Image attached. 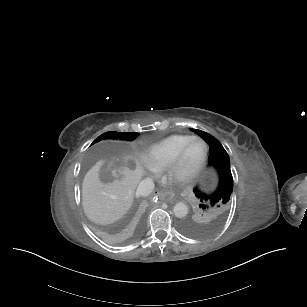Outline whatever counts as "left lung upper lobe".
<instances>
[{
    "label": "left lung upper lobe",
    "instance_id": "obj_1",
    "mask_svg": "<svg viewBox=\"0 0 307 307\" xmlns=\"http://www.w3.org/2000/svg\"><path fill=\"white\" fill-rule=\"evenodd\" d=\"M192 131L209 144V163L217 168L220 175L219 186L213 193L205 194L197 188L194 189V193L200 201L199 214L202 218L187 220L181 224L185 233L202 236L213 233L222 224L232 197L233 177L229 156L221 143L204 131L198 129H192Z\"/></svg>",
    "mask_w": 307,
    "mask_h": 307
}]
</instances>
